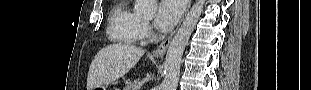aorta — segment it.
<instances>
[{"label":"aorta","mask_w":311,"mask_h":90,"mask_svg":"<svg viewBox=\"0 0 311 90\" xmlns=\"http://www.w3.org/2000/svg\"><path fill=\"white\" fill-rule=\"evenodd\" d=\"M156 3L157 0H136L135 12L143 17L151 18ZM204 3L205 0H197L191 7L169 45L164 63L165 77L161 85L162 90L177 89L183 52L201 16Z\"/></svg>","instance_id":"1"}]
</instances>
